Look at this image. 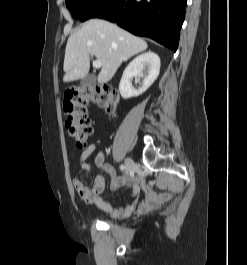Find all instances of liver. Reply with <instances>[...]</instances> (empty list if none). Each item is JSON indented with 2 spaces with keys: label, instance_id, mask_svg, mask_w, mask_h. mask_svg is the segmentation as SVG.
<instances>
[{
  "label": "liver",
  "instance_id": "6515ba94",
  "mask_svg": "<svg viewBox=\"0 0 247 265\" xmlns=\"http://www.w3.org/2000/svg\"><path fill=\"white\" fill-rule=\"evenodd\" d=\"M147 47L146 41L114 24L91 19L68 38L63 81L67 83L84 78L89 72L90 55H93L102 63L98 82L107 83L122 62L145 51Z\"/></svg>",
  "mask_w": 247,
  "mask_h": 265
}]
</instances>
